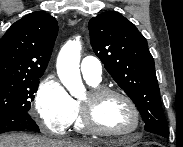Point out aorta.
I'll return each instance as SVG.
<instances>
[{
	"mask_svg": "<svg viewBox=\"0 0 183 147\" xmlns=\"http://www.w3.org/2000/svg\"><path fill=\"white\" fill-rule=\"evenodd\" d=\"M81 42L79 38L69 40L60 50L57 58V74L69 93L78 98L85 93L79 63Z\"/></svg>",
	"mask_w": 183,
	"mask_h": 147,
	"instance_id": "762f6f07",
	"label": "aorta"
}]
</instances>
